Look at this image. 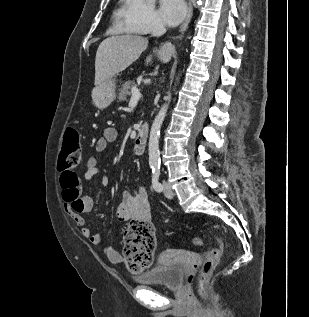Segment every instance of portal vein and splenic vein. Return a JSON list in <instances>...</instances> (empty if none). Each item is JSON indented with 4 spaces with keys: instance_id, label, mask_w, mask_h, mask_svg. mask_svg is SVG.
<instances>
[{
    "instance_id": "obj_1",
    "label": "portal vein and splenic vein",
    "mask_w": 309,
    "mask_h": 317,
    "mask_svg": "<svg viewBox=\"0 0 309 317\" xmlns=\"http://www.w3.org/2000/svg\"><path fill=\"white\" fill-rule=\"evenodd\" d=\"M140 98H141V93H140L139 89L137 87H133L129 105L130 106L136 105L138 103V101L140 100Z\"/></svg>"
}]
</instances>
